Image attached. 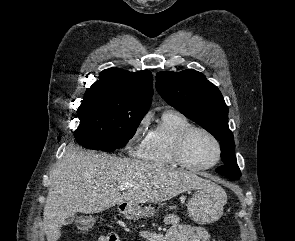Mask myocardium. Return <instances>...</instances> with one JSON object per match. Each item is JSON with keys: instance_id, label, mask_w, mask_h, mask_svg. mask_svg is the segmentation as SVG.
<instances>
[{"instance_id": "f54148a6", "label": "myocardium", "mask_w": 295, "mask_h": 241, "mask_svg": "<svg viewBox=\"0 0 295 241\" xmlns=\"http://www.w3.org/2000/svg\"><path fill=\"white\" fill-rule=\"evenodd\" d=\"M195 131L203 132L204 134H206L208 137L212 139V141L214 142L216 146V149H217L216 159L209 165H206V166L194 165V164H191L185 157L184 148H185L186 142L191 136V134ZM173 156L175 160L177 161V163L186 169H189L192 171L209 170L215 167L220 162L222 157V146L219 139L210 130L202 126L191 125L187 127L186 129H184L176 138L173 144Z\"/></svg>"}]
</instances>
